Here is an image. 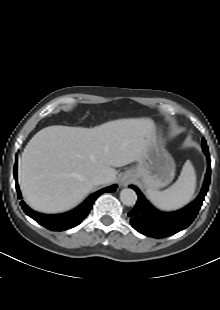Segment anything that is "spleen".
<instances>
[{"instance_id": "spleen-1", "label": "spleen", "mask_w": 220, "mask_h": 310, "mask_svg": "<svg viewBox=\"0 0 220 310\" xmlns=\"http://www.w3.org/2000/svg\"><path fill=\"white\" fill-rule=\"evenodd\" d=\"M196 188V174L190 161L183 165L177 181L164 191L148 189V199L160 210L171 211L185 206L193 197Z\"/></svg>"}]
</instances>
